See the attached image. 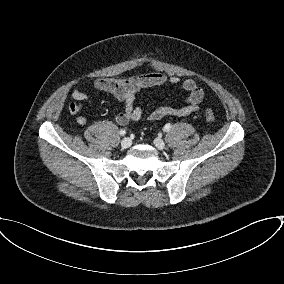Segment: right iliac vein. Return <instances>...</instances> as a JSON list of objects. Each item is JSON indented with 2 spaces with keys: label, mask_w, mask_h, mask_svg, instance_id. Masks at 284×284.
<instances>
[{
  "label": "right iliac vein",
  "mask_w": 284,
  "mask_h": 284,
  "mask_svg": "<svg viewBox=\"0 0 284 284\" xmlns=\"http://www.w3.org/2000/svg\"><path fill=\"white\" fill-rule=\"evenodd\" d=\"M131 144H132V140L128 137L122 139V141H121V147L124 148V149L130 147Z\"/></svg>",
  "instance_id": "63e3f726"
}]
</instances>
